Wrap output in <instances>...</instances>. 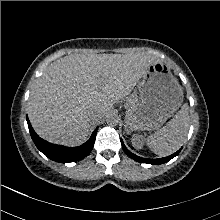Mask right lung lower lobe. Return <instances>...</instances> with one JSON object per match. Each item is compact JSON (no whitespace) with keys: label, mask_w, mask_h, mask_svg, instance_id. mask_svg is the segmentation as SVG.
Here are the masks:
<instances>
[{"label":"right lung lower lobe","mask_w":220,"mask_h":220,"mask_svg":"<svg viewBox=\"0 0 220 220\" xmlns=\"http://www.w3.org/2000/svg\"><path fill=\"white\" fill-rule=\"evenodd\" d=\"M27 123L32 140L35 143L36 147L53 161L67 163L81 160L91 152L94 146L97 130L92 133L90 139L83 145L79 147L69 148L65 146L51 144L41 139L33 130L28 118Z\"/></svg>","instance_id":"right-lung-lower-lobe-1"}]
</instances>
